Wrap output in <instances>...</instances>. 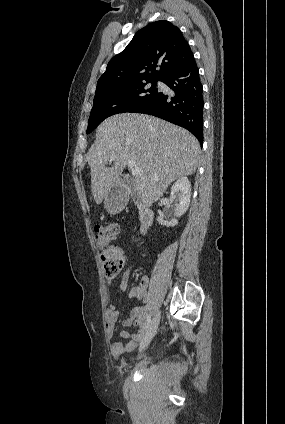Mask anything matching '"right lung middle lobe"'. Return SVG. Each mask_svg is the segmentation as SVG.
<instances>
[{"label": "right lung middle lobe", "instance_id": "dd1d6c3e", "mask_svg": "<svg viewBox=\"0 0 285 424\" xmlns=\"http://www.w3.org/2000/svg\"><path fill=\"white\" fill-rule=\"evenodd\" d=\"M151 83V86L148 84ZM157 80L138 81L109 86L95 92L87 134L92 132L107 117L130 112L152 98L157 92Z\"/></svg>", "mask_w": 285, "mask_h": 424}]
</instances>
